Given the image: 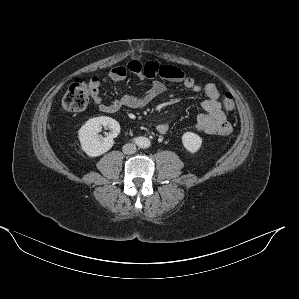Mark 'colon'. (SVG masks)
<instances>
[{
    "label": "colon",
    "instance_id": "5ec220e1",
    "mask_svg": "<svg viewBox=\"0 0 299 299\" xmlns=\"http://www.w3.org/2000/svg\"><path fill=\"white\" fill-rule=\"evenodd\" d=\"M91 83L81 79H75L69 86L62 99V108L67 112H80L84 110L91 97ZM222 107L227 113H232L235 109V102L231 94H226Z\"/></svg>",
    "mask_w": 299,
    "mask_h": 299
}]
</instances>
